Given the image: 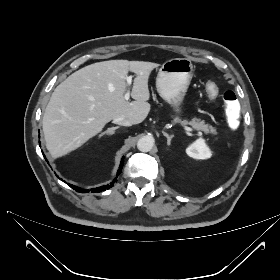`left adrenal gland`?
<instances>
[{
    "label": "left adrenal gland",
    "instance_id": "obj_1",
    "mask_svg": "<svg viewBox=\"0 0 280 280\" xmlns=\"http://www.w3.org/2000/svg\"><path fill=\"white\" fill-rule=\"evenodd\" d=\"M163 135L167 138V145L169 146L171 144V140L173 138V135H169L168 133L162 131Z\"/></svg>",
    "mask_w": 280,
    "mask_h": 280
}]
</instances>
